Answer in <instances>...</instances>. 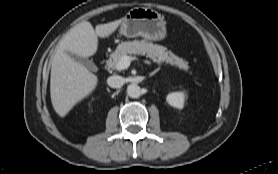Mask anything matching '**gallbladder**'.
<instances>
[{
	"mask_svg": "<svg viewBox=\"0 0 278 174\" xmlns=\"http://www.w3.org/2000/svg\"><path fill=\"white\" fill-rule=\"evenodd\" d=\"M67 54L73 58L74 60H76L77 62L81 63L82 65L86 66L87 68L91 69V70H94L95 69V65L94 63L87 59V58H83L81 56H78L76 54H73L71 52H67Z\"/></svg>",
	"mask_w": 278,
	"mask_h": 174,
	"instance_id": "obj_1",
	"label": "gallbladder"
}]
</instances>
